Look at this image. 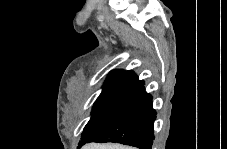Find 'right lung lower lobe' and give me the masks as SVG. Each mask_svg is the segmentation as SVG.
<instances>
[{"mask_svg": "<svg viewBox=\"0 0 227 149\" xmlns=\"http://www.w3.org/2000/svg\"><path fill=\"white\" fill-rule=\"evenodd\" d=\"M155 119L152 96L143 87L136 98L115 119L90 133L86 143L117 142L140 149H151Z\"/></svg>", "mask_w": 227, "mask_h": 149, "instance_id": "1", "label": "right lung lower lobe"}]
</instances>
